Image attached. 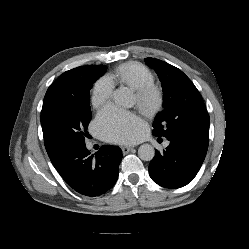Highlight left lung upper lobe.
Listing matches in <instances>:
<instances>
[{
  "label": "left lung upper lobe",
  "mask_w": 249,
  "mask_h": 249,
  "mask_svg": "<svg viewBox=\"0 0 249 249\" xmlns=\"http://www.w3.org/2000/svg\"><path fill=\"white\" fill-rule=\"evenodd\" d=\"M163 88L164 110L153 123V135L168 140L209 142V115L201 94L178 68L154 58H146Z\"/></svg>",
  "instance_id": "left-lung-upper-lobe-1"
}]
</instances>
